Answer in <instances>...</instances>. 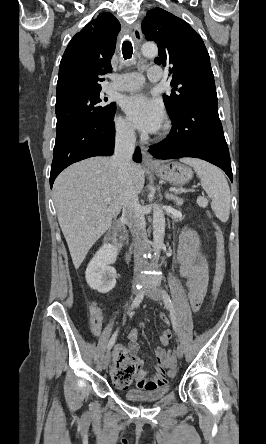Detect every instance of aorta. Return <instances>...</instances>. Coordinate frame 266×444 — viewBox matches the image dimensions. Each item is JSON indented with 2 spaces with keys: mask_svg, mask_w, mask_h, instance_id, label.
<instances>
[{
  "mask_svg": "<svg viewBox=\"0 0 266 444\" xmlns=\"http://www.w3.org/2000/svg\"><path fill=\"white\" fill-rule=\"evenodd\" d=\"M144 57L153 58L158 53V48L154 43H145L141 47ZM165 235V216L162 208L158 205L153 209V249L157 254L163 247Z\"/></svg>",
  "mask_w": 266,
  "mask_h": 444,
  "instance_id": "1",
  "label": "aorta"
}]
</instances>
